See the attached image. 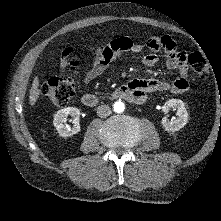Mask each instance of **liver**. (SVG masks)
Wrapping results in <instances>:
<instances>
[{"label": "liver", "instance_id": "1", "mask_svg": "<svg viewBox=\"0 0 221 221\" xmlns=\"http://www.w3.org/2000/svg\"><path fill=\"white\" fill-rule=\"evenodd\" d=\"M38 87H39V79L38 76H36L33 80L32 87L30 89L29 102L31 106H34L39 98L40 90Z\"/></svg>", "mask_w": 221, "mask_h": 221}]
</instances>
